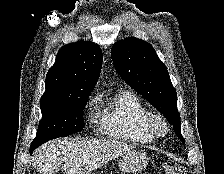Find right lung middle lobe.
Here are the masks:
<instances>
[{"instance_id": "1", "label": "right lung middle lobe", "mask_w": 224, "mask_h": 174, "mask_svg": "<svg viewBox=\"0 0 224 174\" xmlns=\"http://www.w3.org/2000/svg\"><path fill=\"white\" fill-rule=\"evenodd\" d=\"M88 96L68 100H40L42 119L31 147L37 148L54 138L82 131L83 110Z\"/></svg>"}]
</instances>
